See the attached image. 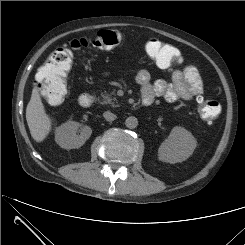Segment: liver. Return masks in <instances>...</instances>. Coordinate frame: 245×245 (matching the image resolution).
Instances as JSON below:
<instances>
[{
	"mask_svg": "<svg viewBox=\"0 0 245 245\" xmlns=\"http://www.w3.org/2000/svg\"><path fill=\"white\" fill-rule=\"evenodd\" d=\"M26 120L32 138L42 142L51 130V119L45 112L37 87L32 90L30 101L26 108Z\"/></svg>",
	"mask_w": 245,
	"mask_h": 245,
	"instance_id": "1",
	"label": "liver"
}]
</instances>
